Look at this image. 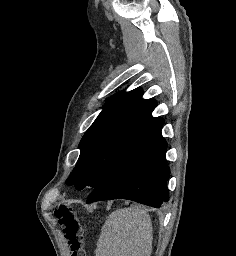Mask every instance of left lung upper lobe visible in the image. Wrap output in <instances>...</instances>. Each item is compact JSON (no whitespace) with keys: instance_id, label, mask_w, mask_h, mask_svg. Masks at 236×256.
Listing matches in <instances>:
<instances>
[{"instance_id":"obj_1","label":"left lung upper lobe","mask_w":236,"mask_h":256,"mask_svg":"<svg viewBox=\"0 0 236 256\" xmlns=\"http://www.w3.org/2000/svg\"><path fill=\"white\" fill-rule=\"evenodd\" d=\"M140 88L114 95L79 144V159L67 185L95 188L111 171L135 133L152 117L155 100L142 99Z\"/></svg>"}]
</instances>
